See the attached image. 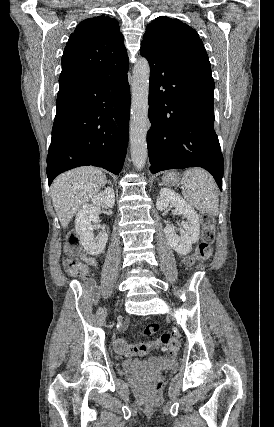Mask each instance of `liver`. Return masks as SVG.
<instances>
[{
  "label": "liver",
  "mask_w": 274,
  "mask_h": 427,
  "mask_svg": "<svg viewBox=\"0 0 274 427\" xmlns=\"http://www.w3.org/2000/svg\"><path fill=\"white\" fill-rule=\"evenodd\" d=\"M104 184L106 176L92 166L75 168L55 178L51 186L52 202L62 227H67L77 210L86 206Z\"/></svg>",
  "instance_id": "obj_1"
}]
</instances>
